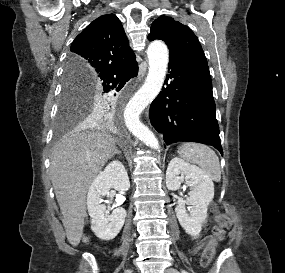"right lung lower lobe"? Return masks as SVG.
Returning a JSON list of instances; mask_svg holds the SVG:
<instances>
[{
	"label": "right lung lower lobe",
	"mask_w": 285,
	"mask_h": 273,
	"mask_svg": "<svg viewBox=\"0 0 285 273\" xmlns=\"http://www.w3.org/2000/svg\"><path fill=\"white\" fill-rule=\"evenodd\" d=\"M137 73L138 64L134 59L123 65L102 71L95 78H92L88 82L94 89L101 91L102 93H108L109 95L115 96L116 92L120 91L126 82H128L131 78L137 76ZM105 107L101 109V117L109 118L112 114L114 105L106 104Z\"/></svg>",
	"instance_id": "right-lung-lower-lobe-1"
}]
</instances>
